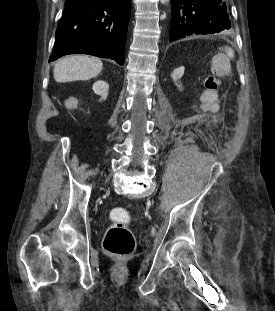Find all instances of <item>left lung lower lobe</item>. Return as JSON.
<instances>
[{"label": "left lung lower lobe", "instance_id": "1", "mask_svg": "<svg viewBox=\"0 0 275 311\" xmlns=\"http://www.w3.org/2000/svg\"><path fill=\"white\" fill-rule=\"evenodd\" d=\"M169 41L190 35L214 34L230 29L224 0H171Z\"/></svg>", "mask_w": 275, "mask_h": 311}]
</instances>
